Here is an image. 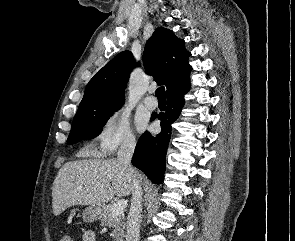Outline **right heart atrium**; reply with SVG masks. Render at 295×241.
<instances>
[{"label": "right heart atrium", "instance_id": "1", "mask_svg": "<svg viewBox=\"0 0 295 241\" xmlns=\"http://www.w3.org/2000/svg\"><path fill=\"white\" fill-rule=\"evenodd\" d=\"M96 141L100 152L111 155L119 148L135 145V136L130 128L129 119L125 112L115 110L101 122Z\"/></svg>", "mask_w": 295, "mask_h": 241}]
</instances>
